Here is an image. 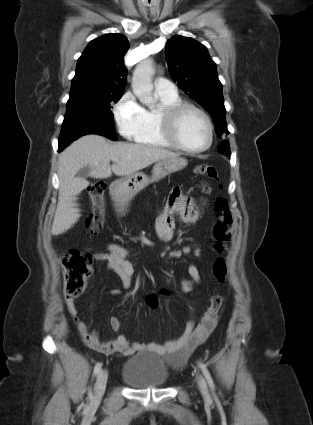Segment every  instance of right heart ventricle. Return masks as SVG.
<instances>
[{
    "label": "right heart ventricle",
    "instance_id": "right-heart-ventricle-1",
    "mask_svg": "<svg viewBox=\"0 0 313 425\" xmlns=\"http://www.w3.org/2000/svg\"><path fill=\"white\" fill-rule=\"evenodd\" d=\"M159 100L161 102L162 108L173 106L181 103L178 96H165L158 94ZM159 110H148L147 118L148 123L146 129L135 139L138 143L151 147H161V148H170L174 149L175 147L171 145L162 135L160 124H159Z\"/></svg>",
    "mask_w": 313,
    "mask_h": 425
}]
</instances>
